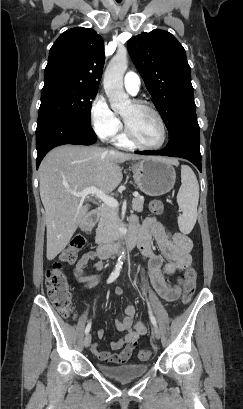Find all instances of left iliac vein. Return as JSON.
<instances>
[{
  "label": "left iliac vein",
  "mask_w": 243,
  "mask_h": 409,
  "mask_svg": "<svg viewBox=\"0 0 243 409\" xmlns=\"http://www.w3.org/2000/svg\"><path fill=\"white\" fill-rule=\"evenodd\" d=\"M153 334H154V336L156 337V339H159V338L161 337V332H160V330H159L158 327H155V326H154V328H153Z\"/></svg>",
  "instance_id": "left-iliac-vein-1"
}]
</instances>
